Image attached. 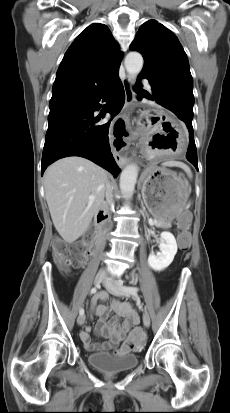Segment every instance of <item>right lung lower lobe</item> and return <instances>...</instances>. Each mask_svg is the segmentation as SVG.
I'll return each instance as SVG.
<instances>
[{"mask_svg": "<svg viewBox=\"0 0 230 413\" xmlns=\"http://www.w3.org/2000/svg\"><path fill=\"white\" fill-rule=\"evenodd\" d=\"M100 101L110 103L107 111L112 117L120 112L125 93L119 77L89 100L50 108L42 155V175L54 161L68 156H80L105 168L114 177L118 176L121 170L113 158L108 140L111 120L97 125L101 116L94 117V112L101 107Z\"/></svg>", "mask_w": 230, "mask_h": 413, "instance_id": "98d812e1", "label": "right lung lower lobe"}]
</instances>
